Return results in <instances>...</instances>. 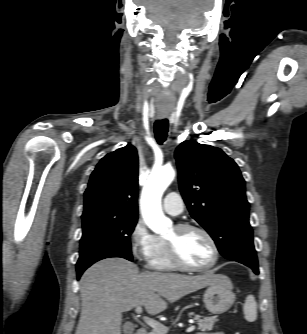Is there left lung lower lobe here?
<instances>
[{
	"mask_svg": "<svg viewBox=\"0 0 307 334\" xmlns=\"http://www.w3.org/2000/svg\"><path fill=\"white\" fill-rule=\"evenodd\" d=\"M249 256H252L255 258V261H240V260H232V261H237L240 262L250 268L253 269V271L258 274L259 270H258V263H257V257H256V252H252V253H248Z\"/></svg>",
	"mask_w": 307,
	"mask_h": 334,
	"instance_id": "0a47b994",
	"label": "left lung lower lobe"
}]
</instances>
